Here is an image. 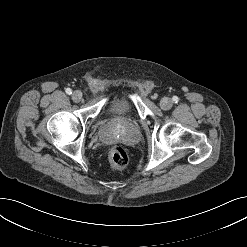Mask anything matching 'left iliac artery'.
Listing matches in <instances>:
<instances>
[{
  "mask_svg": "<svg viewBox=\"0 0 247 247\" xmlns=\"http://www.w3.org/2000/svg\"><path fill=\"white\" fill-rule=\"evenodd\" d=\"M173 101H174L175 103H177V102L179 101V98H178L177 96H174V97H173Z\"/></svg>",
  "mask_w": 247,
  "mask_h": 247,
  "instance_id": "44dca946",
  "label": "left iliac artery"
}]
</instances>
